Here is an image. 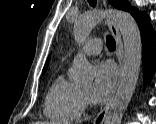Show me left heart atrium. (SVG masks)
Wrapping results in <instances>:
<instances>
[{
    "label": "left heart atrium",
    "mask_w": 156,
    "mask_h": 124,
    "mask_svg": "<svg viewBox=\"0 0 156 124\" xmlns=\"http://www.w3.org/2000/svg\"><path fill=\"white\" fill-rule=\"evenodd\" d=\"M116 76V69L112 63L104 61L96 66L92 89L93 96L96 100H103L112 93Z\"/></svg>",
    "instance_id": "left-heart-atrium-1"
}]
</instances>
